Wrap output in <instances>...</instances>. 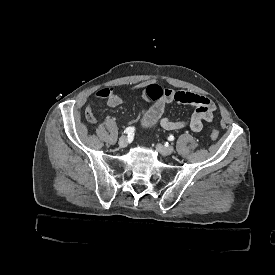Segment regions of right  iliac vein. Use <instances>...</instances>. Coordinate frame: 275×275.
<instances>
[{
    "label": "right iliac vein",
    "mask_w": 275,
    "mask_h": 275,
    "mask_svg": "<svg viewBox=\"0 0 275 275\" xmlns=\"http://www.w3.org/2000/svg\"><path fill=\"white\" fill-rule=\"evenodd\" d=\"M128 142H129L128 137L121 136L119 138L118 144L121 148H126L128 146Z\"/></svg>",
    "instance_id": "right-iliac-vein-1"
}]
</instances>
